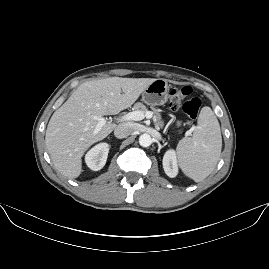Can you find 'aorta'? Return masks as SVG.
I'll list each match as a JSON object with an SVG mask.
<instances>
[{
  "instance_id": "aorta-1",
  "label": "aorta",
  "mask_w": 269,
  "mask_h": 269,
  "mask_svg": "<svg viewBox=\"0 0 269 269\" xmlns=\"http://www.w3.org/2000/svg\"><path fill=\"white\" fill-rule=\"evenodd\" d=\"M139 144L142 146V147H148L152 144V139H151V136L147 133H144L142 135H140L139 137Z\"/></svg>"
}]
</instances>
